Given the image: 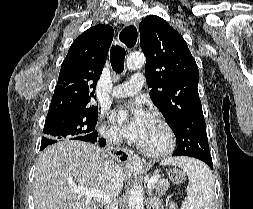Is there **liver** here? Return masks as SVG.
Here are the masks:
<instances>
[{
    "mask_svg": "<svg viewBox=\"0 0 253 209\" xmlns=\"http://www.w3.org/2000/svg\"><path fill=\"white\" fill-rule=\"evenodd\" d=\"M108 162L102 149L82 141L64 139L47 147L39 156L35 170L36 209H98L96 198H87L74 189H97L110 197ZM120 175L122 188L126 172L121 168Z\"/></svg>",
    "mask_w": 253,
    "mask_h": 209,
    "instance_id": "obj_1",
    "label": "liver"
}]
</instances>
